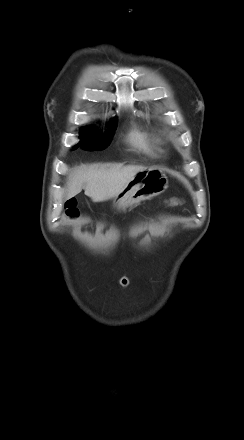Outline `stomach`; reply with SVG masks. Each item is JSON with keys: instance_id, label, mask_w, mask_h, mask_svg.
I'll return each mask as SVG.
<instances>
[{"instance_id": "0dacf381", "label": "stomach", "mask_w": 244, "mask_h": 440, "mask_svg": "<svg viewBox=\"0 0 244 440\" xmlns=\"http://www.w3.org/2000/svg\"><path fill=\"white\" fill-rule=\"evenodd\" d=\"M168 187L166 175L156 167H144L114 198L113 206L125 210L163 193Z\"/></svg>"}]
</instances>
